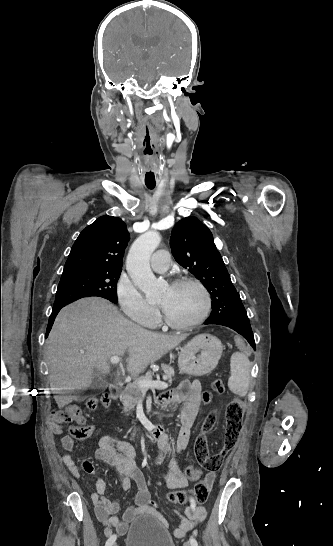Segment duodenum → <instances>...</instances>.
<instances>
[{
	"label": "duodenum",
	"instance_id": "1",
	"mask_svg": "<svg viewBox=\"0 0 333 546\" xmlns=\"http://www.w3.org/2000/svg\"><path fill=\"white\" fill-rule=\"evenodd\" d=\"M109 396L112 400H116L119 397V387L117 385L109 386ZM163 428L161 425H155L151 428H146L144 430H135L132 433L134 439L145 438L149 441H157L158 438L162 435Z\"/></svg>",
	"mask_w": 333,
	"mask_h": 546
}]
</instances>
